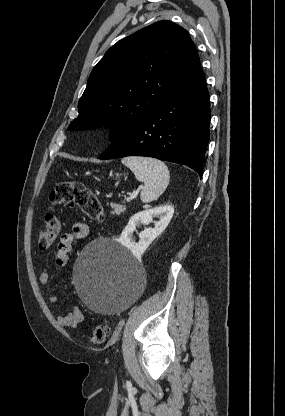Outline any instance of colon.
Instances as JSON below:
<instances>
[{
	"label": "colon",
	"instance_id": "1",
	"mask_svg": "<svg viewBox=\"0 0 285 416\" xmlns=\"http://www.w3.org/2000/svg\"><path fill=\"white\" fill-rule=\"evenodd\" d=\"M50 202L56 207L72 205L78 207L90 220L101 222L104 219V207L98 196L87 186L77 181H61L50 193ZM61 231V222L55 211L47 213L45 226L41 230L38 246L41 250L48 249L56 241ZM110 331L107 322L96 325L90 335L93 344L103 343Z\"/></svg>",
	"mask_w": 285,
	"mask_h": 416
}]
</instances>
